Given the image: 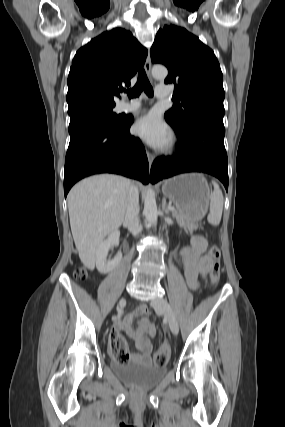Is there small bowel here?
Returning <instances> with one entry per match:
<instances>
[{"label": "small bowel", "instance_id": "1", "mask_svg": "<svg viewBox=\"0 0 285 427\" xmlns=\"http://www.w3.org/2000/svg\"><path fill=\"white\" fill-rule=\"evenodd\" d=\"M207 241L202 236H193L190 245L184 247L179 253V259L184 265V275L188 285L192 289H197L199 277L207 274L211 267V259L206 254ZM148 309L145 305L137 307L133 312L128 313L121 321H118L111 332V335H119L120 331H125L130 338L135 341L137 352L129 353L127 361L149 362L153 351L150 337L156 334V327L147 316ZM138 317L137 326L133 327L132 322ZM126 361V362H127Z\"/></svg>", "mask_w": 285, "mask_h": 427}]
</instances>
